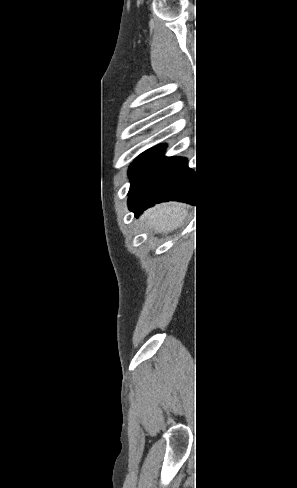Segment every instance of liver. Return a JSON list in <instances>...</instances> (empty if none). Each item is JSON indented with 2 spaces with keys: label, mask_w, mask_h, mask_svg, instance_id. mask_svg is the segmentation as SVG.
<instances>
[{
  "label": "liver",
  "mask_w": 297,
  "mask_h": 488,
  "mask_svg": "<svg viewBox=\"0 0 297 488\" xmlns=\"http://www.w3.org/2000/svg\"><path fill=\"white\" fill-rule=\"evenodd\" d=\"M190 217L188 206L181 203H162L148 210L142 220L155 232L167 233Z\"/></svg>",
  "instance_id": "6515ba94"
}]
</instances>
